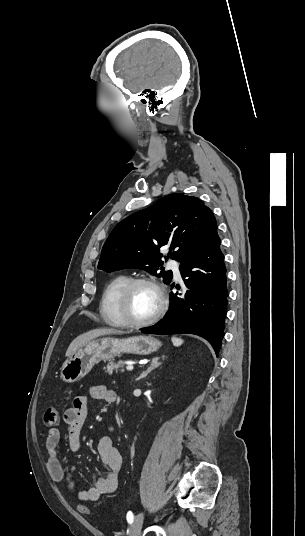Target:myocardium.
I'll use <instances>...</instances> for the list:
<instances>
[{"instance_id": "1", "label": "myocardium", "mask_w": 305, "mask_h": 536, "mask_svg": "<svg viewBox=\"0 0 305 536\" xmlns=\"http://www.w3.org/2000/svg\"><path fill=\"white\" fill-rule=\"evenodd\" d=\"M141 284H148L156 289L159 295L160 305L157 311L153 313L152 315L141 320H132L129 318V315H128V300L133 289ZM167 307H168V298L165 294V291L163 287L161 286V284L152 277L143 276V277H136V278L129 279V281L124 285V287L122 288L118 296L119 314L121 318L123 319L124 326L130 327V328L144 327L157 321L164 315V313L167 310Z\"/></svg>"}]
</instances>
